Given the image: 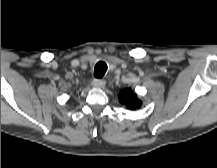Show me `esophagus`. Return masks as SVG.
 I'll list each match as a JSON object with an SVG mask.
<instances>
[{
	"instance_id": "1",
	"label": "esophagus",
	"mask_w": 217,
	"mask_h": 168,
	"mask_svg": "<svg viewBox=\"0 0 217 168\" xmlns=\"http://www.w3.org/2000/svg\"><path fill=\"white\" fill-rule=\"evenodd\" d=\"M106 85V82L104 80L101 79H94L92 81V86L95 88H104Z\"/></svg>"
}]
</instances>
